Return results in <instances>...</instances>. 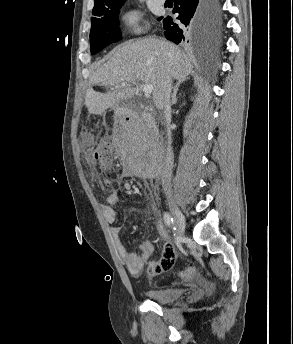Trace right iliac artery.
I'll return each mask as SVG.
<instances>
[{"label":"right iliac artery","instance_id":"right-iliac-artery-1","mask_svg":"<svg viewBox=\"0 0 293 344\" xmlns=\"http://www.w3.org/2000/svg\"><path fill=\"white\" fill-rule=\"evenodd\" d=\"M164 222L168 227H171L173 225V217L170 213L165 212L164 213Z\"/></svg>","mask_w":293,"mask_h":344}]
</instances>
